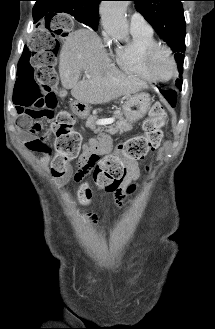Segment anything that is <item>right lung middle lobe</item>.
I'll list each match as a JSON object with an SVG mask.
<instances>
[{"label":"right lung middle lobe","instance_id":"obj_1","mask_svg":"<svg viewBox=\"0 0 215 329\" xmlns=\"http://www.w3.org/2000/svg\"><path fill=\"white\" fill-rule=\"evenodd\" d=\"M63 13H68L72 16H74V18L81 22V23H84L85 25H88L90 26L94 31L97 30V26H98V22L96 21H89L87 20L83 15H82V12L81 11H77V10H74V9H71V8H64L63 9Z\"/></svg>","mask_w":215,"mask_h":329}]
</instances>
